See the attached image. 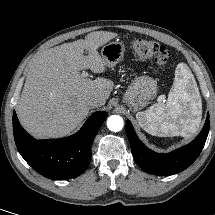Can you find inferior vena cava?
Returning a JSON list of instances; mask_svg holds the SVG:
<instances>
[{
	"label": "inferior vena cava",
	"instance_id": "602c4592",
	"mask_svg": "<svg viewBox=\"0 0 215 215\" xmlns=\"http://www.w3.org/2000/svg\"><path fill=\"white\" fill-rule=\"evenodd\" d=\"M102 104H103L102 100L97 97H90L87 100V105L89 106L90 109L100 107V106H102Z\"/></svg>",
	"mask_w": 215,
	"mask_h": 215
}]
</instances>
